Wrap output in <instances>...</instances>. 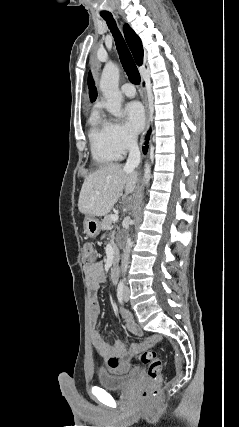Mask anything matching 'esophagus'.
<instances>
[{
    "instance_id": "obj_1",
    "label": "esophagus",
    "mask_w": 239,
    "mask_h": 427,
    "mask_svg": "<svg viewBox=\"0 0 239 427\" xmlns=\"http://www.w3.org/2000/svg\"><path fill=\"white\" fill-rule=\"evenodd\" d=\"M143 90L145 91L144 87H143ZM144 103H145V107H146V127H145V131H144L143 138H142V141H141V145L144 142V136L146 135V133H147V131L149 129V126H150V111H149V107H148V102H147L146 96L144 98Z\"/></svg>"
}]
</instances>
